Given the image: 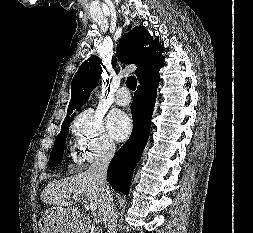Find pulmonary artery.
Segmentation results:
<instances>
[{
  "label": "pulmonary artery",
  "instance_id": "pulmonary-artery-1",
  "mask_svg": "<svg viewBox=\"0 0 253 233\" xmlns=\"http://www.w3.org/2000/svg\"><path fill=\"white\" fill-rule=\"evenodd\" d=\"M114 101L119 106L129 105L131 96L129 95L128 89L126 87L120 88L115 94Z\"/></svg>",
  "mask_w": 253,
  "mask_h": 233
}]
</instances>
